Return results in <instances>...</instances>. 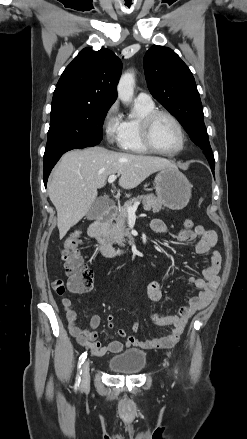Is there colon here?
<instances>
[{
  "label": "colon",
  "mask_w": 247,
  "mask_h": 439,
  "mask_svg": "<svg viewBox=\"0 0 247 439\" xmlns=\"http://www.w3.org/2000/svg\"><path fill=\"white\" fill-rule=\"evenodd\" d=\"M184 226L192 228V220H185ZM81 235L72 233L64 242L61 257L67 276L69 277L70 290L77 293L89 292L93 287V272L84 263L80 254Z\"/></svg>",
  "instance_id": "obj_1"
}]
</instances>
